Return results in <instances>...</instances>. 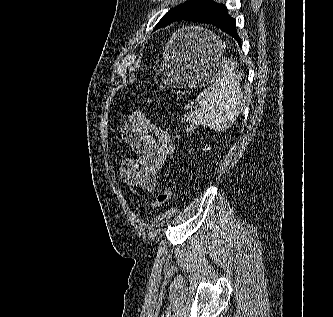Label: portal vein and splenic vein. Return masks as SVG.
Wrapping results in <instances>:
<instances>
[{
    "label": "portal vein and splenic vein",
    "mask_w": 333,
    "mask_h": 317,
    "mask_svg": "<svg viewBox=\"0 0 333 317\" xmlns=\"http://www.w3.org/2000/svg\"><path fill=\"white\" fill-rule=\"evenodd\" d=\"M192 107H193V106H191V105H185V106H184L185 109H189V108H192Z\"/></svg>",
    "instance_id": "1"
}]
</instances>
